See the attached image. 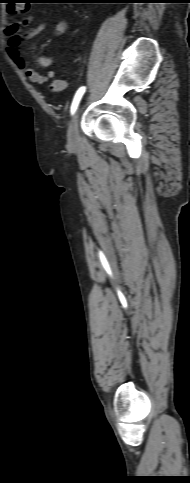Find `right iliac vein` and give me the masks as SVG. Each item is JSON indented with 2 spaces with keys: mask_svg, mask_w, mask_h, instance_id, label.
Here are the masks:
<instances>
[{
  "mask_svg": "<svg viewBox=\"0 0 190 483\" xmlns=\"http://www.w3.org/2000/svg\"><path fill=\"white\" fill-rule=\"evenodd\" d=\"M79 112H80V109L78 108L72 119L69 131H68V141L72 145L76 144L77 142Z\"/></svg>",
  "mask_w": 190,
  "mask_h": 483,
  "instance_id": "right-iliac-vein-1",
  "label": "right iliac vein"
}]
</instances>
